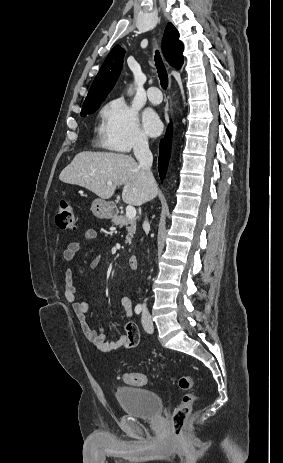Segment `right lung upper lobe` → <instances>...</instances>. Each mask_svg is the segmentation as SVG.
<instances>
[{"instance_id": "obj_1", "label": "right lung upper lobe", "mask_w": 283, "mask_h": 463, "mask_svg": "<svg viewBox=\"0 0 283 463\" xmlns=\"http://www.w3.org/2000/svg\"><path fill=\"white\" fill-rule=\"evenodd\" d=\"M162 50L167 61L176 69H180L184 60L183 44L172 23H168L166 26ZM124 54L125 50L120 45H116L111 50L91 85L83 107L104 101L121 72Z\"/></svg>"}]
</instances>
